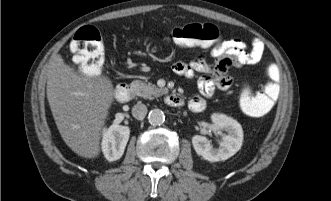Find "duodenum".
Listing matches in <instances>:
<instances>
[{
    "instance_id": "1",
    "label": "duodenum",
    "mask_w": 331,
    "mask_h": 201,
    "mask_svg": "<svg viewBox=\"0 0 331 201\" xmlns=\"http://www.w3.org/2000/svg\"><path fill=\"white\" fill-rule=\"evenodd\" d=\"M132 95V88L128 83H121L115 90V99L119 103L127 102ZM166 103L171 107H179L183 104L180 96L174 93H168L165 97Z\"/></svg>"
}]
</instances>
